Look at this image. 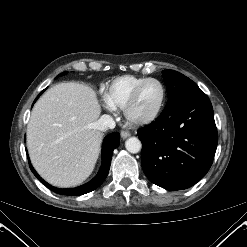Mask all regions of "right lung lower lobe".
Segmentation results:
<instances>
[{"instance_id": "obj_1", "label": "right lung lower lobe", "mask_w": 247, "mask_h": 247, "mask_svg": "<svg viewBox=\"0 0 247 247\" xmlns=\"http://www.w3.org/2000/svg\"><path fill=\"white\" fill-rule=\"evenodd\" d=\"M43 92V91H42ZM42 92L38 95V97L42 94ZM37 97V98H38ZM36 98V100H37ZM35 100V101H36ZM34 101V102H35ZM120 143V134L118 132H113L110 135H108L103 142V147H102V166L100 168V171L98 174L93 178L90 182L76 187V188H71V189H60L51 186L47 182H45L35 171V169L32 167L30 161L29 165L31 168V171L33 174L50 190H52L55 193L61 194V195H83L88 192H91L98 188L105 178L108 175L109 169H110V164H111V158L113 154V150L119 146Z\"/></svg>"}]
</instances>
